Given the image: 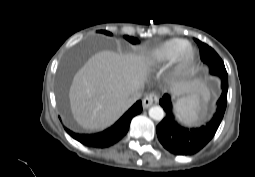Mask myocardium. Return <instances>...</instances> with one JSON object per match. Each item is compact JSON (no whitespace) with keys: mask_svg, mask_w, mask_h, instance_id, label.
Segmentation results:
<instances>
[{"mask_svg":"<svg viewBox=\"0 0 255 177\" xmlns=\"http://www.w3.org/2000/svg\"><path fill=\"white\" fill-rule=\"evenodd\" d=\"M197 62L195 48L187 42L172 61V73L178 82L187 80L194 72Z\"/></svg>","mask_w":255,"mask_h":177,"instance_id":"obj_1","label":"myocardium"}]
</instances>
